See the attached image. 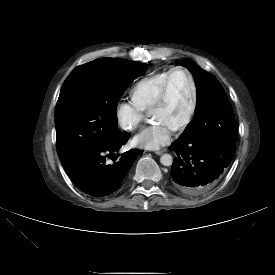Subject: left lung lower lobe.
Returning a JSON list of instances; mask_svg holds the SVG:
<instances>
[{
    "instance_id": "left-lung-lower-lobe-1",
    "label": "left lung lower lobe",
    "mask_w": 275,
    "mask_h": 275,
    "mask_svg": "<svg viewBox=\"0 0 275 275\" xmlns=\"http://www.w3.org/2000/svg\"><path fill=\"white\" fill-rule=\"evenodd\" d=\"M177 157L172 183L182 193L198 195L211 189L231 163L236 141L228 136L177 139L171 144Z\"/></svg>"
}]
</instances>
